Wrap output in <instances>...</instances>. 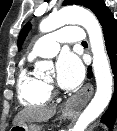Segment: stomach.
Returning a JSON list of instances; mask_svg holds the SVG:
<instances>
[{
	"instance_id": "stomach-1",
	"label": "stomach",
	"mask_w": 117,
	"mask_h": 131,
	"mask_svg": "<svg viewBox=\"0 0 117 131\" xmlns=\"http://www.w3.org/2000/svg\"><path fill=\"white\" fill-rule=\"evenodd\" d=\"M73 110L70 109H64L62 111V118H69L73 115ZM41 125L34 124L32 122L30 123H23V124H17L12 127V130L14 131H42Z\"/></svg>"
}]
</instances>
